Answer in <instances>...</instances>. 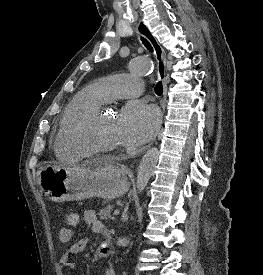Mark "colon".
Listing matches in <instances>:
<instances>
[{"instance_id":"1","label":"colon","mask_w":263,"mask_h":275,"mask_svg":"<svg viewBox=\"0 0 263 275\" xmlns=\"http://www.w3.org/2000/svg\"><path fill=\"white\" fill-rule=\"evenodd\" d=\"M64 221L67 226L75 227L78 225L79 218L75 212H66L64 214Z\"/></svg>"}]
</instances>
